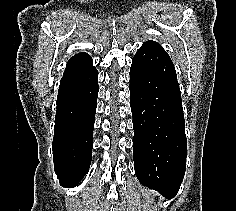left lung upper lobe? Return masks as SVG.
Listing matches in <instances>:
<instances>
[{
    "label": "left lung upper lobe",
    "instance_id": "obj_1",
    "mask_svg": "<svg viewBox=\"0 0 236 211\" xmlns=\"http://www.w3.org/2000/svg\"><path fill=\"white\" fill-rule=\"evenodd\" d=\"M143 45H145V46H154V47L163 49L158 43H156V42H154V41L145 42Z\"/></svg>",
    "mask_w": 236,
    "mask_h": 211
}]
</instances>
